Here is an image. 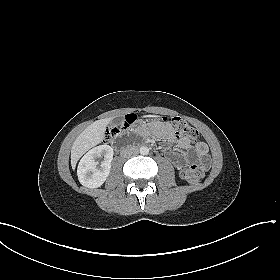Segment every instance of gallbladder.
<instances>
[{
    "label": "gallbladder",
    "instance_id": "obj_1",
    "mask_svg": "<svg viewBox=\"0 0 280 280\" xmlns=\"http://www.w3.org/2000/svg\"><path fill=\"white\" fill-rule=\"evenodd\" d=\"M124 117L123 116H120V117H117L113 120L112 124L113 125H122L124 123Z\"/></svg>",
    "mask_w": 280,
    "mask_h": 280
}]
</instances>
